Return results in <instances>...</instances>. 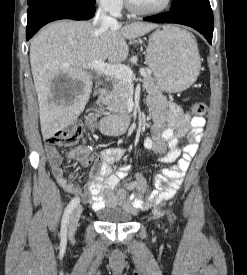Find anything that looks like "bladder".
Masks as SVG:
<instances>
[{"label": "bladder", "mask_w": 247, "mask_h": 275, "mask_svg": "<svg viewBox=\"0 0 247 275\" xmlns=\"http://www.w3.org/2000/svg\"><path fill=\"white\" fill-rule=\"evenodd\" d=\"M96 213L101 222L106 224H127L130 223L134 214L121 208H100Z\"/></svg>", "instance_id": "31cf9c89"}]
</instances>
